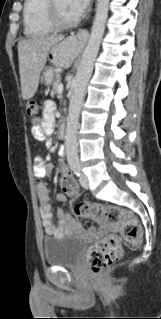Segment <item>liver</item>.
I'll return each mask as SVG.
<instances>
[{
	"instance_id": "liver-1",
	"label": "liver",
	"mask_w": 161,
	"mask_h": 319,
	"mask_svg": "<svg viewBox=\"0 0 161 319\" xmlns=\"http://www.w3.org/2000/svg\"><path fill=\"white\" fill-rule=\"evenodd\" d=\"M64 39L63 35L23 39L18 43L22 98L31 99L37 91L40 74L50 49ZM74 58V55H73Z\"/></svg>"
}]
</instances>
